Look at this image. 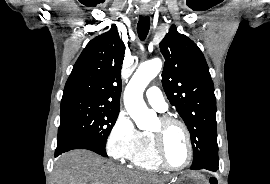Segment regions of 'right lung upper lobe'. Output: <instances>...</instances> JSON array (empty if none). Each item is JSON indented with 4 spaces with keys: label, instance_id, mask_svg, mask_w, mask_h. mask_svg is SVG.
<instances>
[{
    "label": "right lung upper lobe",
    "instance_id": "cb5924a9",
    "mask_svg": "<svg viewBox=\"0 0 270 184\" xmlns=\"http://www.w3.org/2000/svg\"><path fill=\"white\" fill-rule=\"evenodd\" d=\"M125 47L117 27L91 40L66 82L62 100L85 99L120 108Z\"/></svg>",
    "mask_w": 270,
    "mask_h": 184
}]
</instances>
